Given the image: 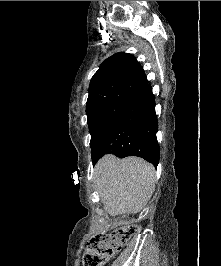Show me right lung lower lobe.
Segmentation results:
<instances>
[{
	"label": "right lung lower lobe",
	"instance_id": "98d812e1",
	"mask_svg": "<svg viewBox=\"0 0 221 266\" xmlns=\"http://www.w3.org/2000/svg\"><path fill=\"white\" fill-rule=\"evenodd\" d=\"M157 130L155 98L151 85L147 84L92 154V161L95 164L103 155L112 153L120 158L139 156L156 167L160 154Z\"/></svg>",
	"mask_w": 221,
	"mask_h": 266
}]
</instances>
